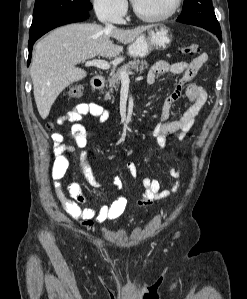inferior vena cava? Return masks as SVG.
<instances>
[{
	"label": "inferior vena cava",
	"instance_id": "obj_1",
	"mask_svg": "<svg viewBox=\"0 0 247 299\" xmlns=\"http://www.w3.org/2000/svg\"><path fill=\"white\" fill-rule=\"evenodd\" d=\"M100 20H101L102 22H104V23H105V28H106L107 30H111V29H113V28H114L112 24H110V23H107V22L105 21V19H104V17H103V16H100Z\"/></svg>",
	"mask_w": 247,
	"mask_h": 299
}]
</instances>
